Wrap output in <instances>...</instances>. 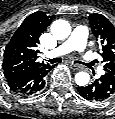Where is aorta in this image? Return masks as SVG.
<instances>
[{
  "instance_id": "1",
  "label": "aorta",
  "mask_w": 115,
  "mask_h": 119,
  "mask_svg": "<svg viewBox=\"0 0 115 119\" xmlns=\"http://www.w3.org/2000/svg\"><path fill=\"white\" fill-rule=\"evenodd\" d=\"M51 33L58 40L66 39L71 33V26L65 20H56L51 25ZM90 76L86 72H78L75 75V81L79 86H85L89 83Z\"/></svg>"
}]
</instances>
